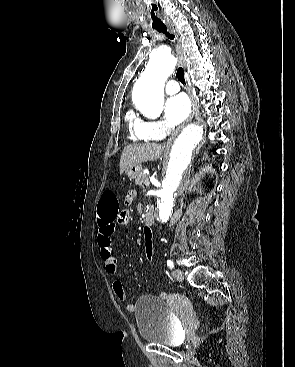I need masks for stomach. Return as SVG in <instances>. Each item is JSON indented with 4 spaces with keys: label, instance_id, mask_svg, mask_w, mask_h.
Here are the masks:
<instances>
[{
    "label": "stomach",
    "instance_id": "stomach-1",
    "mask_svg": "<svg viewBox=\"0 0 295 367\" xmlns=\"http://www.w3.org/2000/svg\"><path fill=\"white\" fill-rule=\"evenodd\" d=\"M125 172L129 178L135 179L142 173V166L140 164L131 166Z\"/></svg>",
    "mask_w": 295,
    "mask_h": 367
}]
</instances>
